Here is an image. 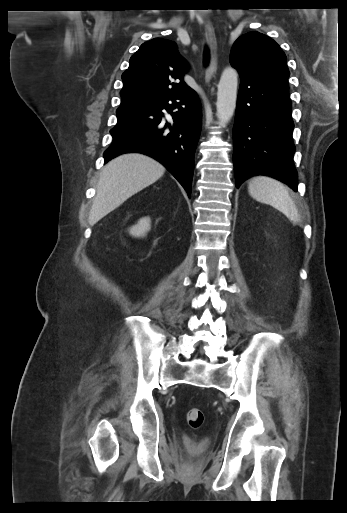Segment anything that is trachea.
<instances>
[{"mask_svg":"<svg viewBox=\"0 0 347 513\" xmlns=\"http://www.w3.org/2000/svg\"><path fill=\"white\" fill-rule=\"evenodd\" d=\"M208 61H209V54H208V51L206 50L205 54H204V62H205V64H207Z\"/></svg>","mask_w":347,"mask_h":513,"instance_id":"3493384b","label":"trachea"}]
</instances>
